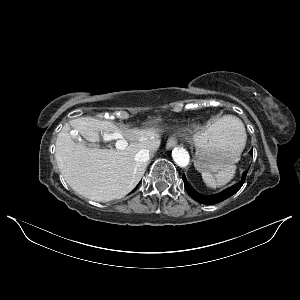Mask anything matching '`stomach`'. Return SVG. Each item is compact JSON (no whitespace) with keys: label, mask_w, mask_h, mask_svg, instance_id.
Segmentation results:
<instances>
[{"label":"stomach","mask_w":300,"mask_h":300,"mask_svg":"<svg viewBox=\"0 0 300 300\" xmlns=\"http://www.w3.org/2000/svg\"><path fill=\"white\" fill-rule=\"evenodd\" d=\"M234 131L216 121L196 135L194 165L198 171L216 173L239 160L244 147Z\"/></svg>","instance_id":"stomach-1"}]
</instances>
